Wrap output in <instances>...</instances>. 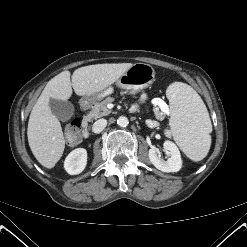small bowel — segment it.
<instances>
[{
    "label": "small bowel",
    "mask_w": 247,
    "mask_h": 247,
    "mask_svg": "<svg viewBox=\"0 0 247 247\" xmlns=\"http://www.w3.org/2000/svg\"><path fill=\"white\" fill-rule=\"evenodd\" d=\"M147 99V96H146V94H141V96H140V102H144L145 100ZM138 109V106L137 105H134L132 108H131V110L132 111H136ZM148 124H149V126L150 127H155L156 126V121H154V120H149L148 121Z\"/></svg>",
    "instance_id": "obj_1"
}]
</instances>
